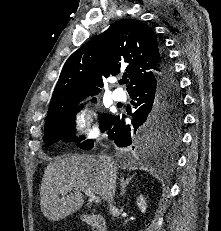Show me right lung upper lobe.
Masks as SVG:
<instances>
[{
    "instance_id": "cb5924a9",
    "label": "right lung upper lobe",
    "mask_w": 221,
    "mask_h": 231,
    "mask_svg": "<svg viewBox=\"0 0 221 231\" xmlns=\"http://www.w3.org/2000/svg\"><path fill=\"white\" fill-rule=\"evenodd\" d=\"M162 49L151 28L124 19L76 50L66 61L54 90L48 116L73 98L96 95L102 76L125 69L128 93L152 84L161 72Z\"/></svg>"
}]
</instances>
